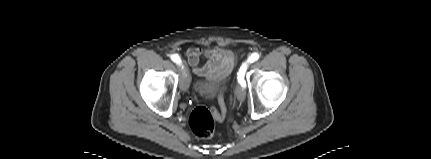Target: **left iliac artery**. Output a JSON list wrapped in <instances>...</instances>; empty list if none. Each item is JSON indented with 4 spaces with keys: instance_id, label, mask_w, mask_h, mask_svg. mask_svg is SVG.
Segmentation results:
<instances>
[{
    "instance_id": "left-iliac-artery-1",
    "label": "left iliac artery",
    "mask_w": 431,
    "mask_h": 159,
    "mask_svg": "<svg viewBox=\"0 0 431 159\" xmlns=\"http://www.w3.org/2000/svg\"><path fill=\"white\" fill-rule=\"evenodd\" d=\"M259 59V54L258 53H253L247 60L248 63H253L255 61H257ZM247 66L245 63H243V65L241 66L239 72H238V82L240 83L241 86L246 87V82L244 80V75L246 72Z\"/></svg>"
}]
</instances>
